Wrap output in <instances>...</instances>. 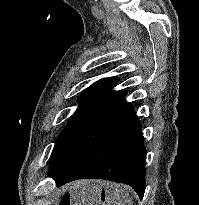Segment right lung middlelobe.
Returning a JSON list of instances; mask_svg holds the SVG:
<instances>
[{
  "mask_svg": "<svg viewBox=\"0 0 199 205\" xmlns=\"http://www.w3.org/2000/svg\"><path fill=\"white\" fill-rule=\"evenodd\" d=\"M124 122L93 111H76L56 140L47 175L58 174L80 155L103 142Z\"/></svg>",
  "mask_w": 199,
  "mask_h": 205,
  "instance_id": "dd1d6c3e",
  "label": "right lung middle lobe"
}]
</instances>
